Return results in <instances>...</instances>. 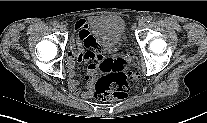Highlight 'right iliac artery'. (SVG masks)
<instances>
[{
    "label": "right iliac artery",
    "instance_id": "82829eb1",
    "mask_svg": "<svg viewBox=\"0 0 207 123\" xmlns=\"http://www.w3.org/2000/svg\"><path fill=\"white\" fill-rule=\"evenodd\" d=\"M53 26H54V27H59V23H58L57 21H54V22H53Z\"/></svg>",
    "mask_w": 207,
    "mask_h": 123
}]
</instances>
